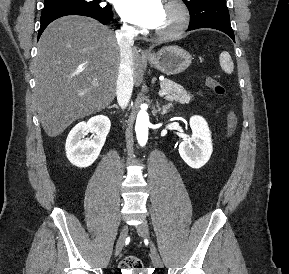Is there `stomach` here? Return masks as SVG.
<instances>
[{
	"instance_id": "1",
	"label": "stomach",
	"mask_w": 289,
	"mask_h": 274,
	"mask_svg": "<svg viewBox=\"0 0 289 274\" xmlns=\"http://www.w3.org/2000/svg\"><path fill=\"white\" fill-rule=\"evenodd\" d=\"M150 64L166 75H176L186 70L191 62V55L179 46H167L147 57Z\"/></svg>"
}]
</instances>
